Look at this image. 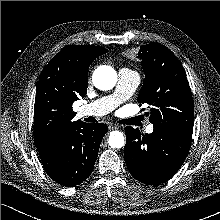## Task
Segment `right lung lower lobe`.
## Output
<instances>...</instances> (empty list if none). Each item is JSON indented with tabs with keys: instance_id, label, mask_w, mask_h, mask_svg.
Listing matches in <instances>:
<instances>
[{
	"instance_id": "obj_1",
	"label": "right lung lower lobe",
	"mask_w": 220,
	"mask_h": 220,
	"mask_svg": "<svg viewBox=\"0 0 220 220\" xmlns=\"http://www.w3.org/2000/svg\"><path fill=\"white\" fill-rule=\"evenodd\" d=\"M107 131L103 123L80 122L54 138L38 150L47 174L65 187L82 183L92 173Z\"/></svg>"
}]
</instances>
